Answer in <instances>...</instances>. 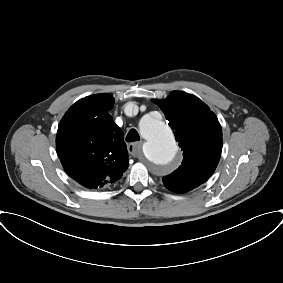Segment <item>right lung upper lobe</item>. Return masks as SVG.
<instances>
[{"label":"right lung upper lobe","mask_w":283,"mask_h":283,"mask_svg":"<svg viewBox=\"0 0 283 283\" xmlns=\"http://www.w3.org/2000/svg\"><path fill=\"white\" fill-rule=\"evenodd\" d=\"M107 93L78 100L59 123L56 148L65 171L87 188L119 180L129 166L122 130L108 113Z\"/></svg>","instance_id":"1"}]
</instances>
